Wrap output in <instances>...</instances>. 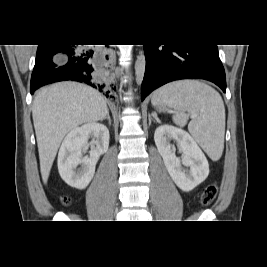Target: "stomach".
I'll use <instances>...</instances> for the list:
<instances>
[{
	"label": "stomach",
	"mask_w": 267,
	"mask_h": 267,
	"mask_svg": "<svg viewBox=\"0 0 267 267\" xmlns=\"http://www.w3.org/2000/svg\"><path fill=\"white\" fill-rule=\"evenodd\" d=\"M157 109L161 112H165V111H168V106L165 105V104H158L157 105Z\"/></svg>",
	"instance_id": "stomach-1"
}]
</instances>
